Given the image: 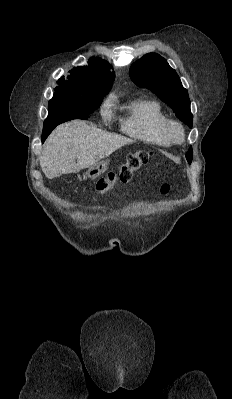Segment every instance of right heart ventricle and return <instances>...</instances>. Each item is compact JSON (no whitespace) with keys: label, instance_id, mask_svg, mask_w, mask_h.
Listing matches in <instances>:
<instances>
[{"label":"right heart ventricle","instance_id":"1","mask_svg":"<svg viewBox=\"0 0 232 399\" xmlns=\"http://www.w3.org/2000/svg\"><path fill=\"white\" fill-rule=\"evenodd\" d=\"M167 115L156 101L143 99L133 104L129 114L120 120L126 136L150 145L169 147L173 141L165 130Z\"/></svg>","mask_w":232,"mask_h":399}]
</instances>
